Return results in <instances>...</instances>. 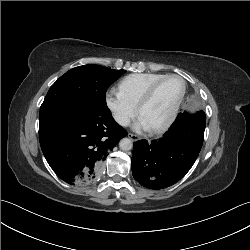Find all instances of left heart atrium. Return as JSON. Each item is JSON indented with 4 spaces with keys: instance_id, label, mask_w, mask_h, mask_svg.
Segmentation results:
<instances>
[{
    "instance_id": "obj_1",
    "label": "left heart atrium",
    "mask_w": 250,
    "mask_h": 250,
    "mask_svg": "<svg viewBox=\"0 0 250 250\" xmlns=\"http://www.w3.org/2000/svg\"><path fill=\"white\" fill-rule=\"evenodd\" d=\"M136 129H148L146 123L140 118L139 121L135 125Z\"/></svg>"
}]
</instances>
